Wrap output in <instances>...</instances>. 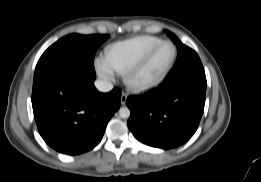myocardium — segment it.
I'll use <instances>...</instances> for the list:
<instances>
[{
  "instance_id": "f54148a6",
  "label": "myocardium",
  "mask_w": 261,
  "mask_h": 182,
  "mask_svg": "<svg viewBox=\"0 0 261 182\" xmlns=\"http://www.w3.org/2000/svg\"><path fill=\"white\" fill-rule=\"evenodd\" d=\"M169 45L173 48V58L166 69L156 78L149 81H138V73L145 67L154 53L162 46ZM178 56L177 47L170 41H161L149 49L135 64H133L124 75V82L128 88L134 91H145L162 83L171 72Z\"/></svg>"
}]
</instances>
